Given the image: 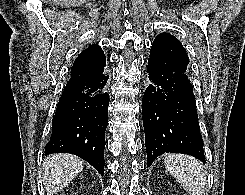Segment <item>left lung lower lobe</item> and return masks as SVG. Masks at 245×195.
I'll return each mask as SVG.
<instances>
[{"mask_svg":"<svg viewBox=\"0 0 245 195\" xmlns=\"http://www.w3.org/2000/svg\"><path fill=\"white\" fill-rule=\"evenodd\" d=\"M147 73L150 84L142 102L147 165L165 152L188 154L205 163L190 79L152 57Z\"/></svg>","mask_w":245,"mask_h":195,"instance_id":"left-lung-lower-lobe-1","label":"left lung lower lobe"}]
</instances>
